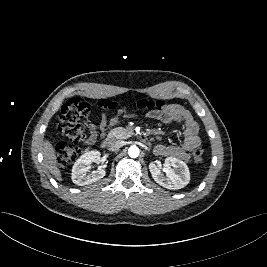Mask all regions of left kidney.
<instances>
[{"mask_svg": "<svg viewBox=\"0 0 267 267\" xmlns=\"http://www.w3.org/2000/svg\"><path fill=\"white\" fill-rule=\"evenodd\" d=\"M149 169L155 182L170 190L181 189L190 181L188 166L174 157H167L164 161L163 169L166 175L161 172V167L153 162L149 164Z\"/></svg>", "mask_w": 267, "mask_h": 267, "instance_id": "left-kidney-1", "label": "left kidney"}]
</instances>
